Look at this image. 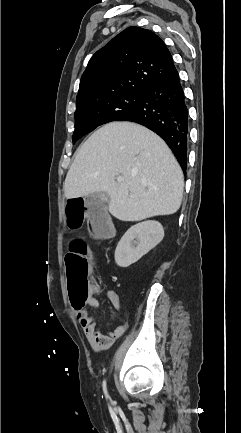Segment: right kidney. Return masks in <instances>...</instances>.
<instances>
[{"instance_id":"ca27d5eb","label":"right kidney","mask_w":241,"mask_h":433,"mask_svg":"<svg viewBox=\"0 0 241 433\" xmlns=\"http://www.w3.org/2000/svg\"><path fill=\"white\" fill-rule=\"evenodd\" d=\"M163 237V226L157 221L148 220L132 226L117 244L115 250L116 264L126 268L137 262L159 244Z\"/></svg>"}]
</instances>
